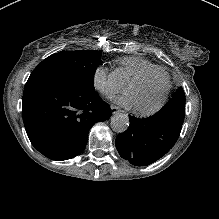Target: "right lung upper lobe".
<instances>
[{
	"label": "right lung upper lobe",
	"instance_id": "cb5924a9",
	"mask_svg": "<svg viewBox=\"0 0 219 219\" xmlns=\"http://www.w3.org/2000/svg\"><path fill=\"white\" fill-rule=\"evenodd\" d=\"M88 51H90L92 53H101V51H93V50H88Z\"/></svg>",
	"mask_w": 219,
	"mask_h": 219
}]
</instances>
